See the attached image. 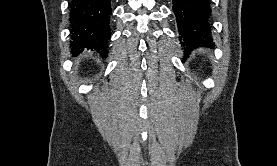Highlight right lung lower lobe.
<instances>
[{
    "label": "right lung lower lobe",
    "mask_w": 277,
    "mask_h": 166,
    "mask_svg": "<svg viewBox=\"0 0 277 166\" xmlns=\"http://www.w3.org/2000/svg\"><path fill=\"white\" fill-rule=\"evenodd\" d=\"M71 52L96 50L107 56L110 39V0H72L70 9Z\"/></svg>",
    "instance_id": "98d812e1"
}]
</instances>
